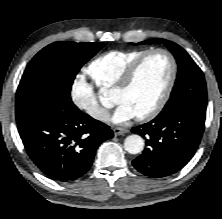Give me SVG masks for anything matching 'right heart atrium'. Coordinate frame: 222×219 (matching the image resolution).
I'll use <instances>...</instances> for the list:
<instances>
[{
  "label": "right heart atrium",
  "mask_w": 222,
  "mask_h": 219,
  "mask_svg": "<svg viewBox=\"0 0 222 219\" xmlns=\"http://www.w3.org/2000/svg\"><path fill=\"white\" fill-rule=\"evenodd\" d=\"M70 99L76 108L85 112L92 119L104 121L107 118V109L99 103L92 86L84 76L74 77L70 86Z\"/></svg>",
  "instance_id": "right-heart-atrium-1"
}]
</instances>
